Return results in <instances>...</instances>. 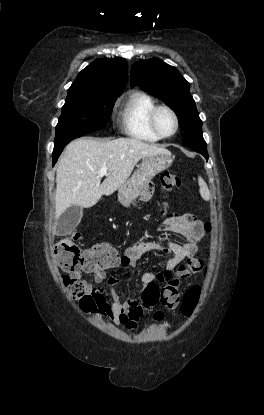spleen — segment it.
Here are the masks:
<instances>
[{
	"label": "spleen",
	"instance_id": "3e777b00",
	"mask_svg": "<svg viewBox=\"0 0 264 415\" xmlns=\"http://www.w3.org/2000/svg\"><path fill=\"white\" fill-rule=\"evenodd\" d=\"M198 184H199V187H200L199 192H200L201 197L204 200L208 201L210 199V192H209V188H208L206 182L203 180L202 177L198 178Z\"/></svg>",
	"mask_w": 264,
	"mask_h": 415
}]
</instances>
